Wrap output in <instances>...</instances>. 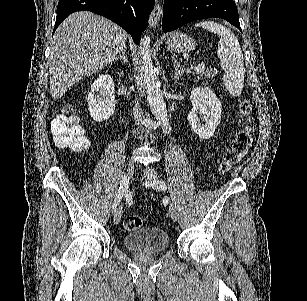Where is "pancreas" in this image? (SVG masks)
Wrapping results in <instances>:
<instances>
[{
	"mask_svg": "<svg viewBox=\"0 0 307 301\" xmlns=\"http://www.w3.org/2000/svg\"><path fill=\"white\" fill-rule=\"evenodd\" d=\"M199 76L197 78H201V76H205L206 80L208 78H211V76H214V70L213 68H209V70H203V72H198Z\"/></svg>",
	"mask_w": 307,
	"mask_h": 301,
	"instance_id": "obj_1",
	"label": "pancreas"
}]
</instances>
